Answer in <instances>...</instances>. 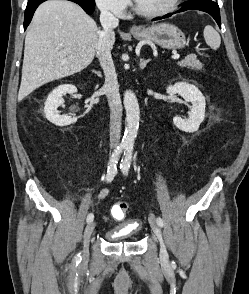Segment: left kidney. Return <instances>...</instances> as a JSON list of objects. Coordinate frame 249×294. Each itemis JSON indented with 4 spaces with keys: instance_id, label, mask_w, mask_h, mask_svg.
I'll use <instances>...</instances> for the list:
<instances>
[{
    "instance_id": "left-kidney-1",
    "label": "left kidney",
    "mask_w": 249,
    "mask_h": 294,
    "mask_svg": "<svg viewBox=\"0 0 249 294\" xmlns=\"http://www.w3.org/2000/svg\"><path fill=\"white\" fill-rule=\"evenodd\" d=\"M167 94H179L187 102H191V112L188 119L174 117V125L184 132H195L199 129L200 124L205 118V97L200 90L192 84L186 82H178L170 85L166 89Z\"/></svg>"
}]
</instances>
